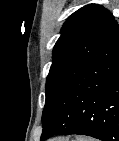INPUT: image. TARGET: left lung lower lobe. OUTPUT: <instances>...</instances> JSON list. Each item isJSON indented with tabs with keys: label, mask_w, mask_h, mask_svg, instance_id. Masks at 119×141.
I'll list each match as a JSON object with an SVG mask.
<instances>
[{
	"label": "left lung lower lobe",
	"mask_w": 119,
	"mask_h": 141,
	"mask_svg": "<svg viewBox=\"0 0 119 141\" xmlns=\"http://www.w3.org/2000/svg\"><path fill=\"white\" fill-rule=\"evenodd\" d=\"M42 123V141L60 134L119 141V27L116 21L93 60L45 105Z\"/></svg>",
	"instance_id": "obj_1"
}]
</instances>
